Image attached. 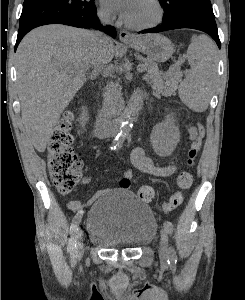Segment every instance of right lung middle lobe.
<instances>
[{
    "label": "right lung middle lobe",
    "mask_w": 245,
    "mask_h": 300,
    "mask_svg": "<svg viewBox=\"0 0 245 300\" xmlns=\"http://www.w3.org/2000/svg\"><path fill=\"white\" fill-rule=\"evenodd\" d=\"M96 11L94 0H25L19 32L62 18H80Z\"/></svg>",
    "instance_id": "right-lung-middle-lobe-1"
}]
</instances>
